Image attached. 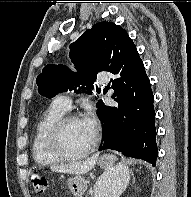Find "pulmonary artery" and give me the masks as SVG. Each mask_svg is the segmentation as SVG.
<instances>
[{
	"label": "pulmonary artery",
	"mask_w": 191,
	"mask_h": 197,
	"mask_svg": "<svg viewBox=\"0 0 191 197\" xmlns=\"http://www.w3.org/2000/svg\"><path fill=\"white\" fill-rule=\"evenodd\" d=\"M98 82L100 84H105L106 80L105 79H99ZM57 107H59L63 111H67L71 107V99L68 95H59L54 99L53 102Z\"/></svg>",
	"instance_id": "e3ab8cb5"
}]
</instances>
